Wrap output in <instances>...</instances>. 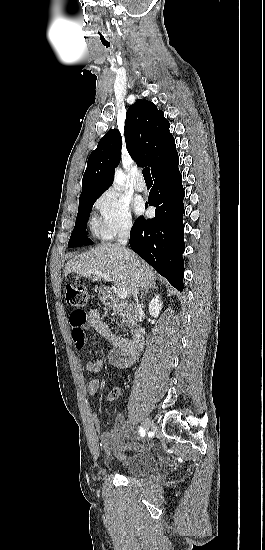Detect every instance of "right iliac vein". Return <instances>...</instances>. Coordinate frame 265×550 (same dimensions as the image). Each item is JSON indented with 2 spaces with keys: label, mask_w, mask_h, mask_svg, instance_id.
Wrapping results in <instances>:
<instances>
[{
  "label": "right iliac vein",
  "mask_w": 265,
  "mask_h": 550,
  "mask_svg": "<svg viewBox=\"0 0 265 550\" xmlns=\"http://www.w3.org/2000/svg\"><path fill=\"white\" fill-rule=\"evenodd\" d=\"M152 426V421L150 418H146L144 421H143V429L145 431H148Z\"/></svg>",
  "instance_id": "right-iliac-vein-1"
}]
</instances>
